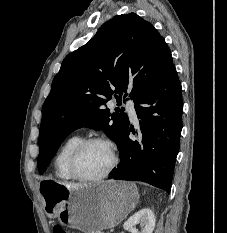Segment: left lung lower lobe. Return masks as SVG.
I'll list each match as a JSON object with an SVG mask.
<instances>
[{
  "mask_svg": "<svg viewBox=\"0 0 227 233\" xmlns=\"http://www.w3.org/2000/svg\"><path fill=\"white\" fill-rule=\"evenodd\" d=\"M135 102L140 130L129 124L119 143L120 164L110 179L149 183L170 192L182 130V89L173 65L165 78ZM132 132L138 140H131Z\"/></svg>",
  "mask_w": 227,
  "mask_h": 233,
  "instance_id": "obj_1",
  "label": "left lung lower lobe"
}]
</instances>
